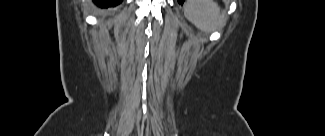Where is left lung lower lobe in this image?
I'll use <instances>...</instances> for the list:
<instances>
[{
  "instance_id": "1",
  "label": "left lung lower lobe",
  "mask_w": 325,
  "mask_h": 136,
  "mask_svg": "<svg viewBox=\"0 0 325 136\" xmlns=\"http://www.w3.org/2000/svg\"><path fill=\"white\" fill-rule=\"evenodd\" d=\"M184 1H185V0H178V2H179L180 4H183Z\"/></svg>"
}]
</instances>
